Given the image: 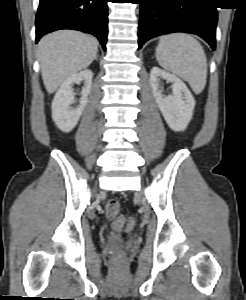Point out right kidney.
I'll list each match as a JSON object with an SVG mask.
<instances>
[{
  "label": "right kidney",
  "mask_w": 246,
  "mask_h": 300,
  "mask_svg": "<svg viewBox=\"0 0 246 300\" xmlns=\"http://www.w3.org/2000/svg\"><path fill=\"white\" fill-rule=\"evenodd\" d=\"M92 78V71L85 69L68 77L58 89L52 101V119L61 131L70 132L77 125L91 92ZM82 81L84 86L81 92L80 104L78 107L72 108L70 105L75 98L72 86Z\"/></svg>",
  "instance_id": "right-kidney-1"
}]
</instances>
